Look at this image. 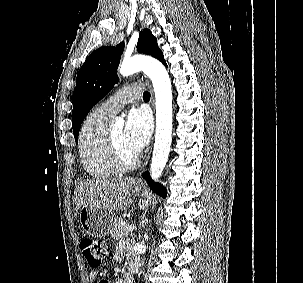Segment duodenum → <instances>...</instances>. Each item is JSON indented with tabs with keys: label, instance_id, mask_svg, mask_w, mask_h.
<instances>
[{
	"label": "duodenum",
	"instance_id": "obj_1",
	"mask_svg": "<svg viewBox=\"0 0 303 283\" xmlns=\"http://www.w3.org/2000/svg\"><path fill=\"white\" fill-rule=\"evenodd\" d=\"M139 260L137 258L131 259L128 267V275L132 278L131 283H133V276L138 272L139 270Z\"/></svg>",
	"mask_w": 303,
	"mask_h": 283
}]
</instances>
